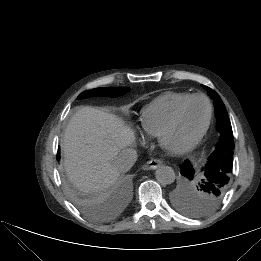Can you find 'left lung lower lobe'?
<instances>
[{"instance_id":"obj_1","label":"left lung lower lobe","mask_w":261,"mask_h":261,"mask_svg":"<svg viewBox=\"0 0 261 261\" xmlns=\"http://www.w3.org/2000/svg\"><path fill=\"white\" fill-rule=\"evenodd\" d=\"M181 174L185 177V178H194V174L195 171L192 168V166L190 165V163L188 161H184L181 165Z\"/></svg>"}]
</instances>
